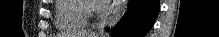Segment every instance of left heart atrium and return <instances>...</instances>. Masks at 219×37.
<instances>
[{"label":"left heart atrium","instance_id":"1","mask_svg":"<svg viewBox=\"0 0 219 37\" xmlns=\"http://www.w3.org/2000/svg\"><path fill=\"white\" fill-rule=\"evenodd\" d=\"M94 5L96 8L100 9L103 8V6L107 3L105 0H94Z\"/></svg>","mask_w":219,"mask_h":37}]
</instances>
